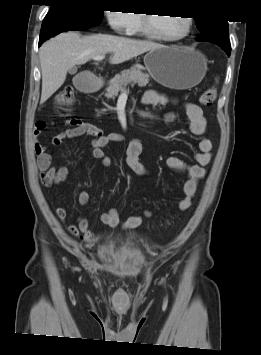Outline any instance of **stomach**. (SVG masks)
I'll return each instance as SVG.
<instances>
[{
	"label": "stomach",
	"instance_id": "stomach-1",
	"mask_svg": "<svg viewBox=\"0 0 261 355\" xmlns=\"http://www.w3.org/2000/svg\"><path fill=\"white\" fill-rule=\"evenodd\" d=\"M144 63L151 77L161 85L183 90L199 84L207 71V60L203 54L190 47L171 46L150 50ZM100 81L92 78L87 87H99Z\"/></svg>",
	"mask_w": 261,
	"mask_h": 355
}]
</instances>
